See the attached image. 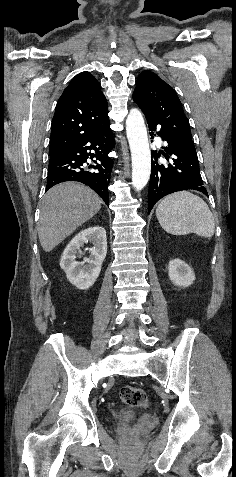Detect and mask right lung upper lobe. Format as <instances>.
Instances as JSON below:
<instances>
[{"label":"right lung upper lobe","mask_w":236,"mask_h":477,"mask_svg":"<svg viewBox=\"0 0 236 477\" xmlns=\"http://www.w3.org/2000/svg\"><path fill=\"white\" fill-rule=\"evenodd\" d=\"M109 123L107 100L89 73L75 76L56 105L51 126L50 160L64 155L83 138Z\"/></svg>","instance_id":"1"}]
</instances>
